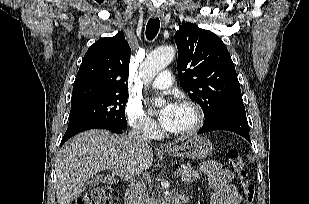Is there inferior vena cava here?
Returning a JSON list of instances; mask_svg holds the SVG:
<instances>
[{"mask_svg":"<svg viewBox=\"0 0 309 204\" xmlns=\"http://www.w3.org/2000/svg\"><path fill=\"white\" fill-rule=\"evenodd\" d=\"M130 141L141 148L147 147L149 143L148 135L144 132L141 126H136L129 133ZM147 188L145 182L140 179L139 175L134 176V179L126 189L125 204H152L145 198Z\"/></svg>","mask_w":309,"mask_h":204,"instance_id":"1","label":"inferior vena cava"}]
</instances>
